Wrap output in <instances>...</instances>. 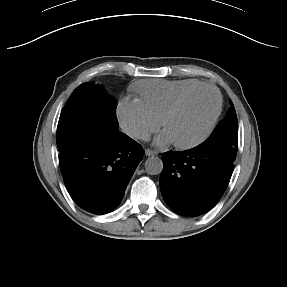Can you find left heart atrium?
Returning a JSON list of instances; mask_svg holds the SVG:
<instances>
[{
	"mask_svg": "<svg viewBox=\"0 0 287 287\" xmlns=\"http://www.w3.org/2000/svg\"><path fill=\"white\" fill-rule=\"evenodd\" d=\"M173 142H174L173 139L170 137V135L166 131L161 133L156 139V144L161 145V146L168 145Z\"/></svg>",
	"mask_w": 287,
	"mask_h": 287,
	"instance_id": "left-heart-atrium-1",
	"label": "left heart atrium"
}]
</instances>
